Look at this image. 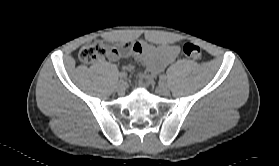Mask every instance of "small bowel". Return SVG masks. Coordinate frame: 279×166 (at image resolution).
I'll use <instances>...</instances> for the list:
<instances>
[{
	"label": "small bowel",
	"mask_w": 279,
	"mask_h": 166,
	"mask_svg": "<svg viewBox=\"0 0 279 166\" xmlns=\"http://www.w3.org/2000/svg\"><path fill=\"white\" fill-rule=\"evenodd\" d=\"M137 44L140 50L134 52L136 58L147 67L146 75L148 77H152L156 72L164 69L168 64L173 62L180 53V49L177 45L162 44L155 46L147 42ZM128 54L129 51L109 53L107 57L110 60H117L120 56H126ZM126 69L132 70L133 65H127Z\"/></svg>",
	"instance_id": "obj_1"
}]
</instances>
